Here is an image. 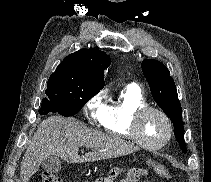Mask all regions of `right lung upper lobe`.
Returning a JSON list of instances; mask_svg holds the SVG:
<instances>
[{"mask_svg":"<svg viewBox=\"0 0 211 182\" xmlns=\"http://www.w3.org/2000/svg\"><path fill=\"white\" fill-rule=\"evenodd\" d=\"M111 64L110 57L99 49H81L60 63L53 74L104 87V70Z\"/></svg>","mask_w":211,"mask_h":182,"instance_id":"1","label":"right lung upper lobe"}]
</instances>
